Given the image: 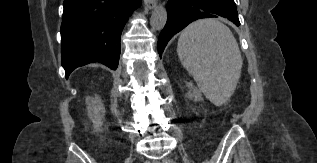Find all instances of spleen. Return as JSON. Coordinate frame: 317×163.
I'll use <instances>...</instances> for the list:
<instances>
[{
    "mask_svg": "<svg viewBox=\"0 0 317 163\" xmlns=\"http://www.w3.org/2000/svg\"><path fill=\"white\" fill-rule=\"evenodd\" d=\"M183 67L216 106L225 104L239 81L242 57L231 30L215 19L191 23L177 45Z\"/></svg>",
    "mask_w": 317,
    "mask_h": 163,
    "instance_id": "3e777b00",
    "label": "spleen"
}]
</instances>
